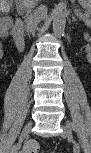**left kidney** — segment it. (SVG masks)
I'll list each match as a JSON object with an SVG mask.
<instances>
[{
    "label": "left kidney",
    "instance_id": "1",
    "mask_svg": "<svg viewBox=\"0 0 91 153\" xmlns=\"http://www.w3.org/2000/svg\"><path fill=\"white\" fill-rule=\"evenodd\" d=\"M87 58H89V53L87 54Z\"/></svg>",
    "mask_w": 91,
    "mask_h": 153
}]
</instances>
